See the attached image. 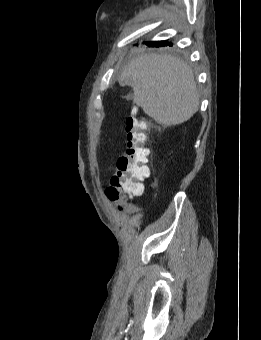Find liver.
<instances>
[{
    "instance_id": "liver-1",
    "label": "liver",
    "mask_w": 261,
    "mask_h": 340,
    "mask_svg": "<svg viewBox=\"0 0 261 340\" xmlns=\"http://www.w3.org/2000/svg\"><path fill=\"white\" fill-rule=\"evenodd\" d=\"M120 86L133 88V100L156 123L175 126L199 109V93L192 69L168 54H141L123 69Z\"/></svg>"
}]
</instances>
